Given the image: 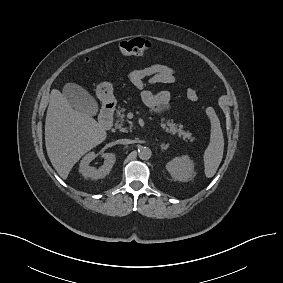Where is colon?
<instances>
[{
	"instance_id": "obj_1",
	"label": "colon",
	"mask_w": 283,
	"mask_h": 283,
	"mask_svg": "<svg viewBox=\"0 0 283 283\" xmlns=\"http://www.w3.org/2000/svg\"><path fill=\"white\" fill-rule=\"evenodd\" d=\"M150 49V42L143 38L128 39L119 44V52L124 56L142 55L147 53ZM186 95L192 102H197L199 99L198 92L194 88H188Z\"/></svg>"
}]
</instances>
